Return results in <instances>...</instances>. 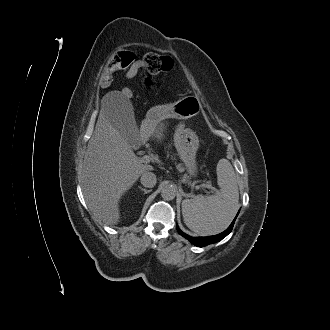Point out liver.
Listing matches in <instances>:
<instances>
[{"instance_id":"1","label":"liver","mask_w":330,"mask_h":330,"mask_svg":"<svg viewBox=\"0 0 330 330\" xmlns=\"http://www.w3.org/2000/svg\"><path fill=\"white\" fill-rule=\"evenodd\" d=\"M130 103V102H129ZM115 106L103 105L84 156L81 186L92 214L106 225L120 222L119 201L150 165L143 164L129 141L114 126ZM165 125L151 112L136 133L141 138H163Z\"/></svg>"}]
</instances>
